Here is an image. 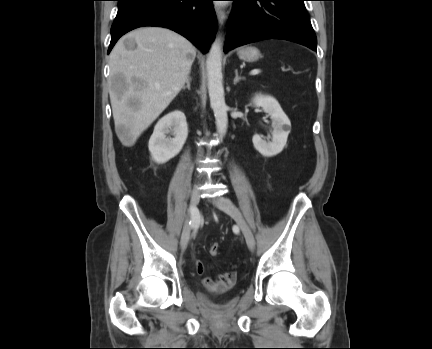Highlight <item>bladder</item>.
<instances>
[{"instance_id":"1","label":"bladder","mask_w":432,"mask_h":349,"mask_svg":"<svg viewBox=\"0 0 432 349\" xmlns=\"http://www.w3.org/2000/svg\"><path fill=\"white\" fill-rule=\"evenodd\" d=\"M212 299L218 302H224L226 300V295L225 294L215 295L212 297Z\"/></svg>"}]
</instances>
